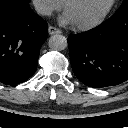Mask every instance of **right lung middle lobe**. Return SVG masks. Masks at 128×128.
<instances>
[{"label": "right lung middle lobe", "instance_id": "right-lung-middle-lobe-1", "mask_svg": "<svg viewBox=\"0 0 128 128\" xmlns=\"http://www.w3.org/2000/svg\"><path fill=\"white\" fill-rule=\"evenodd\" d=\"M19 1H23V2L29 3L31 0H19Z\"/></svg>", "mask_w": 128, "mask_h": 128}]
</instances>
